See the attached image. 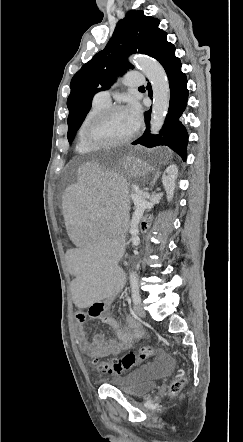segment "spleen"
<instances>
[{"mask_svg":"<svg viewBox=\"0 0 243 442\" xmlns=\"http://www.w3.org/2000/svg\"><path fill=\"white\" fill-rule=\"evenodd\" d=\"M152 176L149 165L83 163L78 183H70L67 193H62L69 237L80 253L69 260L71 274L77 279L71 287L76 307H95L104 296H121V291H128L119 265L122 241L118 239L127 234L126 222H121L128 214L125 192H133L138 178Z\"/></svg>","mask_w":243,"mask_h":442,"instance_id":"spleen-1","label":"spleen"}]
</instances>
